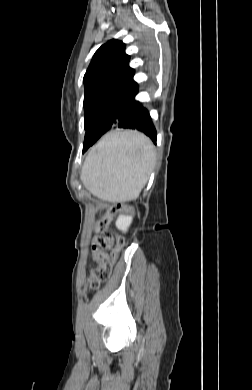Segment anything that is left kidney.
<instances>
[{
	"instance_id": "5707ae66",
	"label": "left kidney",
	"mask_w": 252,
	"mask_h": 390,
	"mask_svg": "<svg viewBox=\"0 0 252 390\" xmlns=\"http://www.w3.org/2000/svg\"><path fill=\"white\" fill-rule=\"evenodd\" d=\"M131 223H132L131 216L120 215L116 220V227L119 230L126 232Z\"/></svg>"
}]
</instances>
